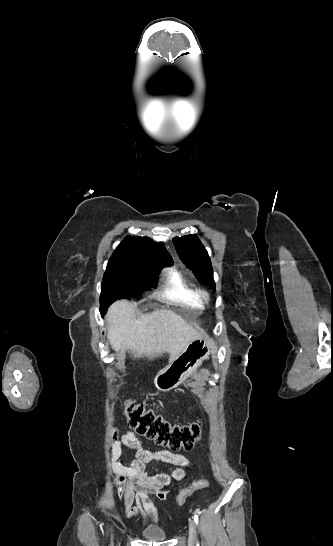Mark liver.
I'll return each mask as SVG.
<instances>
[{"label":"liver","mask_w":333,"mask_h":546,"mask_svg":"<svg viewBox=\"0 0 333 546\" xmlns=\"http://www.w3.org/2000/svg\"><path fill=\"white\" fill-rule=\"evenodd\" d=\"M136 305L127 300L114 302L108 309L107 337L115 351H128L134 358L154 359L169 354L176 358L188 344L202 336L199 328L168 309H157L135 317Z\"/></svg>","instance_id":"6515ba94"}]
</instances>
